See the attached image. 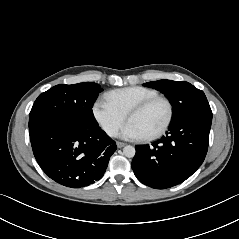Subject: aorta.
I'll return each instance as SVG.
<instances>
[{
	"label": "aorta",
	"instance_id": "1",
	"mask_svg": "<svg viewBox=\"0 0 239 239\" xmlns=\"http://www.w3.org/2000/svg\"><path fill=\"white\" fill-rule=\"evenodd\" d=\"M136 150L133 146L127 145L123 148V154L128 158H133L135 156Z\"/></svg>",
	"mask_w": 239,
	"mask_h": 239
}]
</instances>
